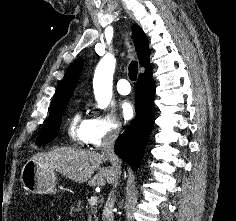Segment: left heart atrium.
<instances>
[{"mask_svg": "<svg viewBox=\"0 0 236 221\" xmlns=\"http://www.w3.org/2000/svg\"><path fill=\"white\" fill-rule=\"evenodd\" d=\"M119 108H120L121 116L125 121H129L130 119L133 118L134 108H133V105L129 101L127 100L121 101L119 104Z\"/></svg>", "mask_w": 236, "mask_h": 221, "instance_id": "1", "label": "left heart atrium"}]
</instances>
